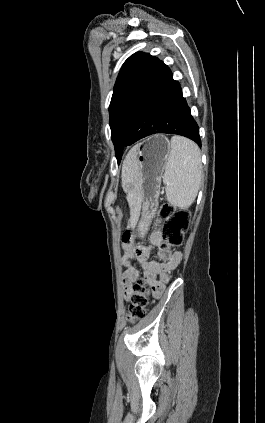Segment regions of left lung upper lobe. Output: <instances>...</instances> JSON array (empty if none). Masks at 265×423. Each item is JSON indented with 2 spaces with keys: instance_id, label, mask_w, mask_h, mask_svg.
<instances>
[{
  "instance_id": "left-lung-upper-lobe-1",
  "label": "left lung upper lobe",
  "mask_w": 265,
  "mask_h": 423,
  "mask_svg": "<svg viewBox=\"0 0 265 423\" xmlns=\"http://www.w3.org/2000/svg\"><path fill=\"white\" fill-rule=\"evenodd\" d=\"M155 59L150 54L137 52L125 61L117 77L109 114L111 138L118 163L122 157L128 120L135 98Z\"/></svg>"
}]
</instances>
